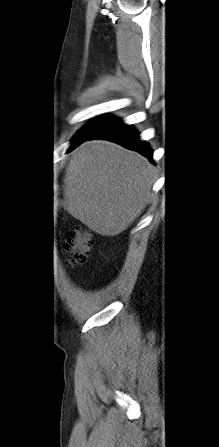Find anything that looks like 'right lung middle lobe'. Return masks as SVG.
<instances>
[{
	"instance_id": "obj_1",
	"label": "right lung middle lobe",
	"mask_w": 219,
	"mask_h": 447,
	"mask_svg": "<svg viewBox=\"0 0 219 447\" xmlns=\"http://www.w3.org/2000/svg\"><path fill=\"white\" fill-rule=\"evenodd\" d=\"M116 119L114 118H102L93 121L89 125H87L84 129H82L74 138L73 144L86 138L94 135L95 133L99 132L106 126L110 125L112 122H114Z\"/></svg>"
}]
</instances>
